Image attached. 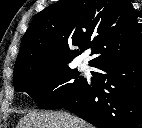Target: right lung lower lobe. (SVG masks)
Returning <instances> with one entry per match:
<instances>
[{
  "instance_id": "right-lung-lower-lobe-1",
  "label": "right lung lower lobe",
  "mask_w": 142,
  "mask_h": 128,
  "mask_svg": "<svg viewBox=\"0 0 142 128\" xmlns=\"http://www.w3.org/2000/svg\"><path fill=\"white\" fill-rule=\"evenodd\" d=\"M94 67L63 108L98 128H142V47Z\"/></svg>"
}]
</instances>
